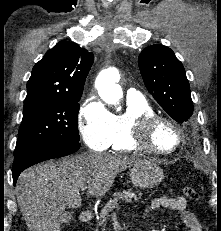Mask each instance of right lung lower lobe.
<instances>
[{
	"mask_svg": "<svg viewBox=\"0 0 221 231\" xmlns=\"http://www.w3.org/2000/svg\"><path fill=\"white\" fill-rule=\"evenodd\" d=\"M79 148L80 144L43 143L33 146L14 156L15 158L12 167L13 185L16 184L18 176L24 169L45 160L70 155L76 152Z\"/></svg>",
	"mask_w": 221,
	"mask_h": 231,
	"instance_id": "right-lung-lower-lobe-1",
	"label": "right lung lower lobe"
}]
</instances>
